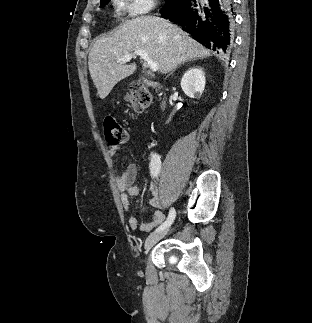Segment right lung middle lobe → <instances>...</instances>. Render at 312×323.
Listing matches in <instances>:
<instances>
[{
  "label": "right lung middle lobe",
  "instance_id": "obj_1",
  "mask_svg": "<svg viewBox=\"0 0 312 323\" xmlns=\"http://www.w3.org/2000/svg\"><path fill=\"white\" fill-rule=\"evenodd\" d=\"M110 0H107L105 3L109 2ZM180 0H166L164 8H171L175 3L179 2ZM103 3V4H105ZM101 4V6L103 5Z\"/></svg>",
  "mask_w": 312,
  "mask_h": 323
}]
</instances>
